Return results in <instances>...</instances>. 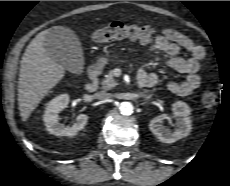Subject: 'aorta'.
Wrapping results in <instances>:
<instances>
[{"label": "aorta", "instance_id": "1", "mask_svg": "<svg viewBox=\"0 0 230 186\" xmlns=\"http://www.w3.org/2000/svg\"><path fill=\"white\" fill-rule=\"evenodd\" d=\"M133 105L130 102H122L119 106V110L123 115H131L133 113Z\"/></svg>", "mask_w": 230, "mask_h": 186}]
</instances>
